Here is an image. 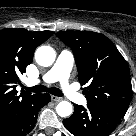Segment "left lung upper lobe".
Masks as SVG:
<instances>
[{"instance_id": "5c2ea615", "label": "left lung upper lobe", "mask_w": 136, "mask_h": 136, "mask_svg": "<svg viewBox=\"0 0 136 136\" xmlns=\"http://www.w3.org/2000/svg\"><path fill=\"white\" fill-rule=\"evenodd\" d=\"M57 37L75 57L87 103L126 112L132 95L127 62L106 36L92 31H61Z\"/></svg>"}]
</instances>
